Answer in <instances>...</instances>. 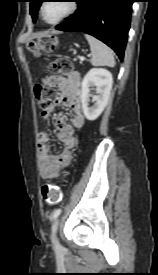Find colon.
<instances>
[{
  "mask_svg": "<svg viewBox=\"0 0 158 275\" xmlns=\"http://www.w3.org/2000/svg\"><path fill=\"white\" fill-rule=\"evenodd\" d=\"M57 46L58 41L56 36L53 34H46L31 40L27 48L32 54L38 56L42 53L55 51ZM49 69L52 73L56 74L67 73L71 71L72 64L66 58H58L50 63ZM36 97L42 113H48L56 99L55 93L42 85L36 87ZM41 196L47 204L56 205L62 199L61 188L56 183L46 182L41 186Z\"/></svg>",
  "mask_w": 158,
  "mask_h": 275,
  "instance_id": "5ec220e1",
  "label": "colon"
}]
</instances>
